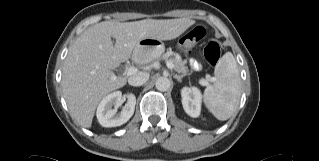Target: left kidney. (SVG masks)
<instances>
[{
	"instance_id": "5707ae66",
	"label": "left kidney",
	"mask_w": 319,
	"mask_h": 161,
	"mask_svg": "<svg viewBox=\"0 0 319 161\" xmlns=\"http://www.w3.org/2000/svg\"><path fill=\"white\" fill-rule=\"evenodd\" d=\"M182 105L185 112L196 118L201 112V93L196 87H184L181 90Z\"/></svg>"
}]
</instances>
